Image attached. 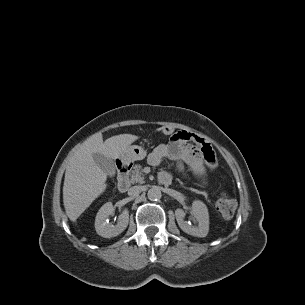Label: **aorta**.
<instances>
[{"label": "aorta", "instance_id": "aorta-1", "mask_svg": "<svg viewBox=\"0 0 305 305\" xmlns=\"http://www.w3.org/2000/svg\"><path fill=\"white\" fill-rule=\"evenodd\" d=\"M147 196L149 200L156 201L161 198L162 194L158 187H152L148 190Z\"/></svg>", "mask_w": 305, "mask_h": 305}]
</instances>
